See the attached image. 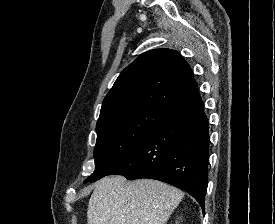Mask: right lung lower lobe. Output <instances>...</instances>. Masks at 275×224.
<instances>
[{
  "label": "right lung lower lobe",
  "mask_w": 275,
  "mask_h": 224,
  "mask_svg": "<svg viewBox=\"0 0 275 224\" xmlns=\"http://www.w3.org/2000/svg\"><path fill=\"white\" fill-rule=\"evenodd\" d=\"M209 143V122L196 88L168 108L145 139L109 175L169 183L193 196L204 212Z\"/></svg>",
  "instance_id": "1"
}]
</instances>
